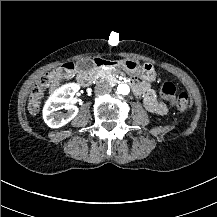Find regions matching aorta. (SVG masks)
Listing matches in <instances>:
<instances>
[{"label":"aorta","instance_id":"762f6f07","mask_svg":"<svg viewBox=\"0 0 217 217\" xmlns=\"http://www.w3.org/2000/svg\"><path fill=\"white\" fill-rule=\"evenodd\" d=\"M117 91L119 94L127 95L130 92V87L127 84H120L117 87Z\"/></svg>","mask_w":217,"mask_h":217}]
</instances>
